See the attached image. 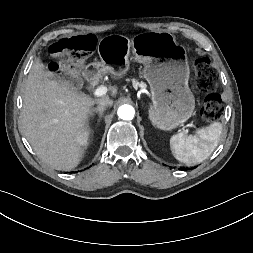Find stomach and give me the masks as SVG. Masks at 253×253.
I'll use <instances>...</instances> for the list:
<instances>
[{"label":"stomach","mask_w":253,"mask_h":253,"mask_svg":"<svg viewBox=\"0 0 253 253\" xmlns=\"http://www.w3.org/2000/svg\"><path fill=\"white\" fill-rule=\"evenodd\" d=\"M97 49L100 61L91 64L95 75H123L130 59L144 64L143 75L153 102L149 114L157 128L170 131L193 115L195 99L188 87L189 65L173 35L154 33L129 39L112 34L102 38Z\"/></svg>","instance_id":"0dacf381"}]
</instances>
